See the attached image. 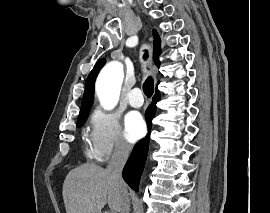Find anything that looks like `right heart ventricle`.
Returning <instances> with one entry per match:
<instances>
[{"label": "right heart ventricle", "instance_id": "right-heart-ventricle-1", "mask_svg": "<svg viewBox=\"0 0 270 213\" xmlns=\"http://www.w3.org/2000/svg\"><path fill=\"white\" fill-rule=\"evenodd\" d=\"M89 141H90L89 137L85 136L86 144H85L84 151H85V154L87 157L93 158V157H95L94 150H93V147L89 145Z\"/></svg>", "mask_w": 270, "mask_h": 213}]
</instances>
